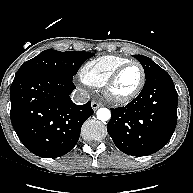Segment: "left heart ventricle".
Instances as JSON below:
<instances>
[{"instance_id": "1", "label": "left heart ventricle", "mask_w": 193, "mask_h": 193, "mask_svg": "<svg viewBox=\"0 0 193 193\" xmlns=\"http://www.w3.org/2000/svg\"><path fill=\"white\" fill-rule=\"evenodd\" d=\"M141 73L138 67L130 66L117 79L113 92L118 96L130 94L139 84Z\"/></svg>"}]
</instances>
